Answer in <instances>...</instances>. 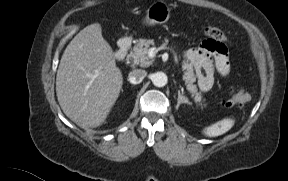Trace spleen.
<instances>
[{"label":"spleen","instance_id":"3e777b00","mask_svg":"<svg viewBox=\"0 0 288 181\" xmlns=\"http://www.w3.org/2000/svg\"><path fill=\"white\" fill-rule=\"evenodd\" d=\"M234 123H235L234 119L225 118L221 121H218L206 127L203 133L209 137H216L229 131L234 126Z\"/></svg>","mask_w":288,"mask_h":181}]
</instances>
